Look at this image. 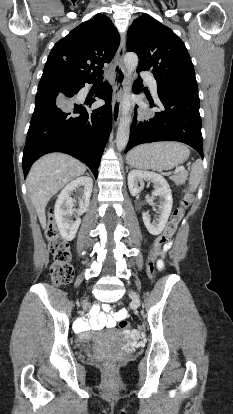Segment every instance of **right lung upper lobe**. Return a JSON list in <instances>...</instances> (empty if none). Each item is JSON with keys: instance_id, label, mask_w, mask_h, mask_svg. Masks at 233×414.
<instances>
[{"instance_id": "1", "label": "right lung upper lobe", "mask_w": 233, "mask_h": 414, "mask_svg": "<svg viewBox=\"0 0 233 414\" xmlns=\"http://www.w3.org/2000/svg\"><path fill=\"white\" fill-rule=\"evenodd\" d=\"M119 43L120 36L110 18L97 14L54 45L41 80L94 81L103 73L104 63L114 57Z\"/></svg>"}]
</instances>
